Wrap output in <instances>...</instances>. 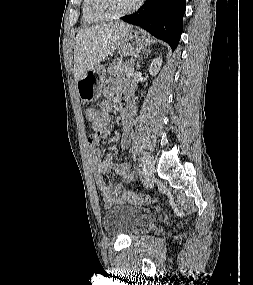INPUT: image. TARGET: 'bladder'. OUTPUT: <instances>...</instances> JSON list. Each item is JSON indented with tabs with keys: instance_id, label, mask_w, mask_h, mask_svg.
I'll return each mask as SVG.
<instances>
[{
	"instance_id": "1",
	"label": "bladder",
	"mask_w": 253,
	"mask_h": 285,
	"mask_svg": "<svg viewBox=\"0 0 253 285\" xmlns=\"http://www.w3.org/2000/svg\"><path fill=\"white\" fill-rule=\"evenodd\" d=\"M156 219L153 211L130 205L108 209L103 215V227L112 236H133L140 233Z\"/></svg>"
}]
</instances>
